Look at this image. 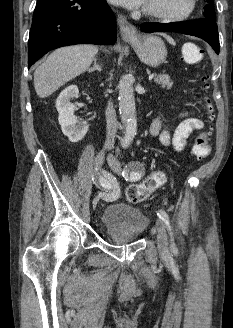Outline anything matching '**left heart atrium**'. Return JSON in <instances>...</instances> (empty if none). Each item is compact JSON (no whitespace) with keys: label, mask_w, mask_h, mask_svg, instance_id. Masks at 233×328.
Instances as JSON below:
<instances>
[{"label":"left heart atrium","mask_w":233,"mask_h":328,"mask_svg":"<svg viewBox=\"0 0 233 328\" xmlns=\"http://www.w3.org/2000/svg\"><path fill=\"white\" fill-rule=\"evenodd\" d=\"M112 3L122 5L130 9H136L145 5L147 0H110Z\"/></svg>","instance_id":"left-heart-atrium-1"}]
</instances>
